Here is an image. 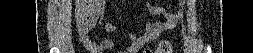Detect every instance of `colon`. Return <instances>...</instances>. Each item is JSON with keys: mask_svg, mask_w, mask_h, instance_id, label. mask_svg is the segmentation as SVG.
I'll return each mask as SVG.
<instances>
[{"mask_svg": "<svg viewBox=\"0 0 253 53\" xmlns=\"http://www.w3.org/2000/svg\"><path fill=\"white\" fill-rule=\"evenodd\" d=\"M79 5L76 8L75 12V21L80 26H86L90 23L92 14H93V7L90 6L92 4V0H82L78 1ZM155 53H171L172 52V45L168 40L162 41L158 48L154 51ZM145 53H152V50L146 49Z\"/></svg>", "mask_w": 253, "mask_h": 53, "instance_id": "obj_1", "label": "colon"}]
</instances>
